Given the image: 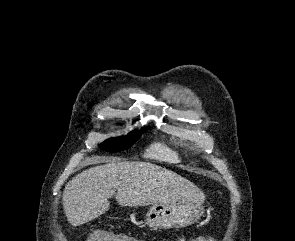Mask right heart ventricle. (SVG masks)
Segmentation results:
<instances>
[{
    "label": "right heart ventricle",
    "instance_id": "1",
    "mask_svg": "<svg viewBox=\"0 0 295 241\" xmlns=\"http://www.w3.org/2000/svg\"><path fill=\"white\" fill-rule=\"evenodd\" d=\"M148 156L170 163H177L180 161L179 154L176 151L162 144L153 145L148 151Z\"/></svg>",
    "mask_w": 295,
    "mask_h": 241
}]
</instances>
